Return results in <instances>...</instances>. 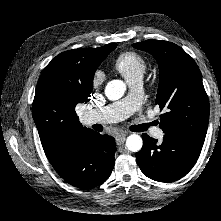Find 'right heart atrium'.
I'll return each instance as SVG.
<instances>
[{"label":"right heart atrium","mask_w":221,"mask_h":221,"mask_svg":"<svg viewBox=\"0 0 221 221\" xmlns=\"http://www.w3.org/2000/svg\"><path fill=\"white\" fill-rule=\"evenodd\" d=\"M104 80L105 74L101 70H96L91 76V84L94 88L101 86Z\"/></svg>","instance_id":"right-heart-atrium-1"}]
</instances>
